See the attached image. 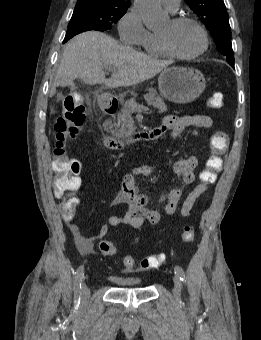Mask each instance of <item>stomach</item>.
Instances as JSON below:
<instances>
[{"instance_id":"stomach-1","label":"stomach","mask_w":261,"mask_h":340,"mask_svg":"<svg viewBox=\"0 0 261 340\" xmlns=\"http://www.w3.org/2000/svg\"><path fill=\"white\" fill-rule=\"evenodd\" d=\"M159 91L169 101L186 104L196 100L205 90L204 75L197 69L169 67L158 77Z\"/></svg>"}]
</instances>
